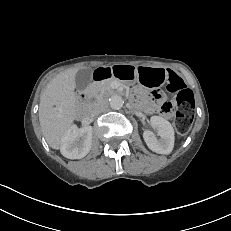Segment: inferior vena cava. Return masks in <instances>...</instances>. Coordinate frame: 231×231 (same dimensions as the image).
I'll use <instances>...</instances> for the list:
<instances>
[{
    "mask_svg": "<svg viewBox=\"0 0 231 231\" xmlns=\"http://www.w3.org/2000/svg\"><path fill=\"white\" fill-rule=\"evenodd\" d=\"M105 108H106V103H104V102L98 103L94 107V109L92 111V114L93 115H98V114L102 113L105 110Z\"/></svg>",
    "mask_w": 231,
    "mask_h": 231,
    "instance_id": "602c4592",
    "label": "inferior vena cava"
}]
</instances>
